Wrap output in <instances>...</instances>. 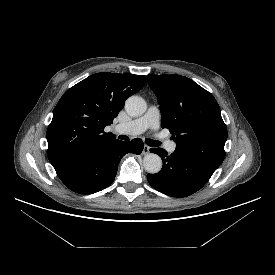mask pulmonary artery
<instances>
[{
    "label": "pulmonary artery",
    "instance_id": "1",
    "mask_svg": "<svg viewBox=\"0 0 275 275\" xmlns=\"http://www.w3.org/2000/svg\"><path fill=\"white\" fill-rule=\"evenodd\" d=\"M159 124L160 110L157 106L152 105L142 117L127 123L118 124L115 129L119 133L136 135L146 131L147 129L156 130L158 129ZM166 147L169 152H173L176 148V144L168 142Z\"/></svg>",
    "mask_w": 275,
    "mask_h": 275
}]
</instances>
